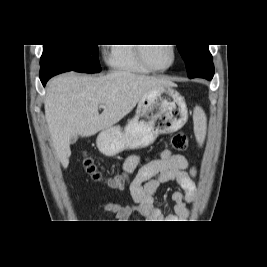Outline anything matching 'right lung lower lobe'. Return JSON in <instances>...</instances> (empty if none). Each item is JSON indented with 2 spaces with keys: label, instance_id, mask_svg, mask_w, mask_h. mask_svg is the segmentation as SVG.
Instances as JSON below:
<instances>
[{
  "label": "right lung lower lobe",
  "instance_id": "1",
  "mask_svg": "<svg viewBox=\"0 0 267 267\" xmlns=\"http://www.w3.org/2000/svg\"><path fill=\"white\" fill-rule=\"evenodd\" d=\"M68 71H73L67 67L60 66V65H55V64H46L41 66L40 69V80L43 84V86L46 85L47 81L60 73L68 72Z\"/></svg>",
  "mask_w": 267,
  "mask_h": 267
}]
</instances>
